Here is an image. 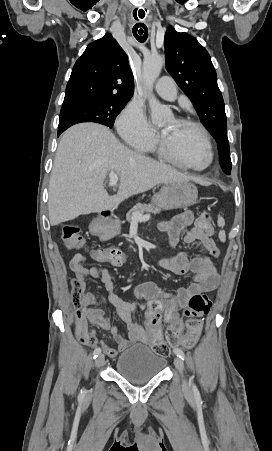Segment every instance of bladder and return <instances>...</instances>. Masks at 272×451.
I'll return each mask as SVG.
<instances>
[{"mask_svg": "<svg viewBox=\"0 0 272 451\" xmlns=\"http://www.w3.org/2000/svg\"><path fill=\"white\" fill-rule=\"evenodd\" d=\"M167 365V359L146 345L135 344L116 360L115 370L133 384H146L158 376Z\"/></svg>", "mask_w": 272, "mask_h": 451, "instance_id": "1", "label": "bladder"}]
</instances>
